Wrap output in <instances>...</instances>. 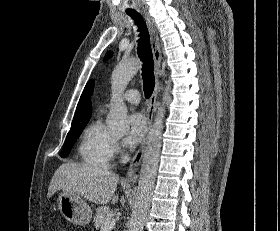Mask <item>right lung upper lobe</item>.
<instances>
[{
    "label": "right lung upper lobe",
    "instance_id": "1",
    "mask_svg": "<svg viewBox=\"0 0 280 231\" xmlns=\"http://www.w3.org/2000/svg\"><path fill=\"white\" fill-rule=\"evenodd\" d=\"M90 81L87 83L81 98L79 100L71 128L78 127L88 123L91 116V102L89 100Z\"/></svg>",
    "mask_w": 280,
    "mask_h": 231
}]
</instances>
